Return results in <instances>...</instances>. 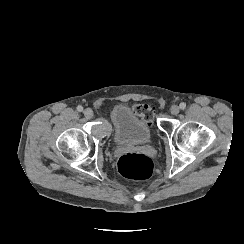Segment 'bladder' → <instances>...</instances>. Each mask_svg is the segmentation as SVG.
<instances>
[{"label": "bladder", "mask_w": 244, "mask_h": 244, "mask_svg": "<svg viewBox=\"0 0 244 244\" xmlns=\"http://www.w3.org/2000/svg\"><path fill=\"white\" fill-rule=\"evenodd\" d=\"M113 137L118 145L150 144L152 130L149 129L126 105L120 104L112 111Z\"/></svg>", "instance_id": "obj_1"}]
</instances>
